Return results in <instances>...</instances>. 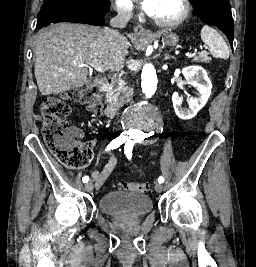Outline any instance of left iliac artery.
<instances>
[{"mask_svg": "<svg viewBox=\"0 0 256 267\" xmlns=\"http://www.w3.org/2000/svg\"><path fill=\"white\" fill-rule=\"evenodd\" d=\"M133 146H134V142L132 140H127L126 144H125V147H124V153L126 154L127 158L130 160L131 157H132V149H133ZM158 182L159 183H163L164 182V178L162 176H160L158 178Z\"/></svg>", "mask_w": 256, "mask_h": 267, "instance_id": "left-iliac-artery-1", "label": "left iliac artery"}]
</instances>
